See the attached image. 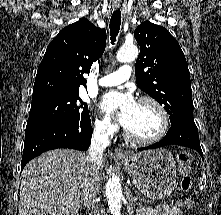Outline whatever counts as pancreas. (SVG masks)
I'll return each mask as SVG.
<instances>
[{"mask_svg":"<svg viewBox=\"0 0 221 215\" xmlns=\"http://www.w3.org/2000/svg\"><path fill=\"white\" fill-rule=\"evenodd\" d=\"M138 197V205H142V204H148L149 203V200H147L146 198L144 197H141L140 193H137L136 195Z\"/></svg>","mask_w":221,"mask_h":215,"instance_id":"1","label":"pancreas"}]
</instances>
